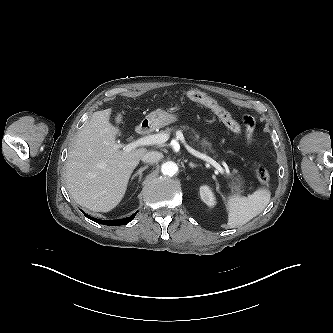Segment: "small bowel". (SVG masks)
<instances>
[{"instance_id": "obj_1", "label": "small bowel", "mask_w": 333, "mask_h": 333, "mask_svg": "<svg viewBox=\"0 0 333 333\" xmlns=\"http://www.w3.org/2000/svg\"><path fill=\"white\" fill-rule=\"evenodd\" d=\"M241 118H242V121H243L244 125L247 128V131L250 132L251 129L253 128V126H254L253 118L249 115H242Z\"/></svg>"}]
</instances>
